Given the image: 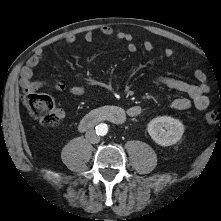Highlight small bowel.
Masks as SVG:
<instances>
[{
	"instance_id": "1",
	"label": "small bowel",
	"mask_w": 221,
	"mask_h": 221,
	"mask_svg": "<svg viewBox=\"0 0 221 221\" xmlns=\"http://www.w3.org/2000/svg\"><path fill=\"white\" fill-rule=\"evenodd\" d=\"M99 33L105 37H112L117 40L125 41L126 49L130 53H135L138 50L132 36L128 33L115 32L108 25L100 27ZM95 37L96 36L93 31H88L84 34V41L87 43H92L95 40ZM65 41L68 44H73L76 42V36L69 34L66 36ZM154 47V43L151 41H145L143 43V48L145 51H152ZM174 55L175 51L172 48H166L164 50V56L166 58H172ZM42 57L43 50L37 49L21 70L20 85L25 93H30L43 87H51L56 90H64L66 88V83L61 79L54 81L33 79V70L40 63ZM193 76L197 81L196 84L168 76H160L157 78V82L160 85L186 95L183 97H178L172 101L171 107L174 110L182 111L191 107L198 110H205L209 106L210 100L207 95L208 85L206 74L201 69L195 68L193 69ZM70 92L75 96H80L84 94L85 87L83 85H74L70 88ZM59 113L62 114L61 111H59ZM140 113V106L134 105L128 108V114L131 117H137L140 115Z\"/></svg>"
}]
</instances>
